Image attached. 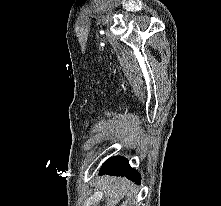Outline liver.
<instances>
[{
	"label": "liver",
	"instance_id": "6515ba94",
	"mask_svg": "<svg viewBox=\"0 0 221 206\" xmlns=\"http://www.w3.org/2000/svg\"><path fill=\"white\" fill-rule=\"evenodd\" d=\"M100 187L104 190L105 206H116L120 199L127 193L130 183L121 177H105Z\"/></svg>",
	"mask_w": 221,
	"mask_h": 206
}]
</instances>
